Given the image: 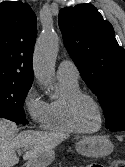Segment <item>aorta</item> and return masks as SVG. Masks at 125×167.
I'll return each mask as SVG.
<instances>
[{"label":"aorta","mask_w":125,"mask_h":167,"mask_svg":"<svg viewBox=\"0 0 125 167\" xmlns=\"http://www.w3.org/2000/svg\"><path fill=\"white\" fill-rule=\"evenodd\" d=\"M58 44V35L54 31L48 30L40 35L35 46L33 56L35 77L46 88L52 87Z\"/></svg>","instance_id":"aorta-1"}]
</instances>
